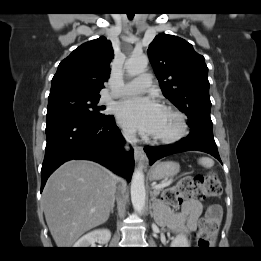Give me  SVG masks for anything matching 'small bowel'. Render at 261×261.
<instances>
[{
    "instance_id": "obj_1",
    "label": "small bowel",
    "mask_w": 261,
    "mask_h": 261,
    "mask_svg": "<svg viewBox=\"0 0 261 261\" xmlns=\"http://www.w3.org/2000/svg\"><path fill=\"white\" fill-rule=\"evenodd\" d=\"M204 205L196 200H187L182 206L180 212H171L166 210L170 215L168 222L169 227L174 232H181L183 229L188 231H195L197 229V221L200 217ZM207 214L219 221L222 215V210L218 205H209L207 207Z\"/></svg>"
}]
</instances>
